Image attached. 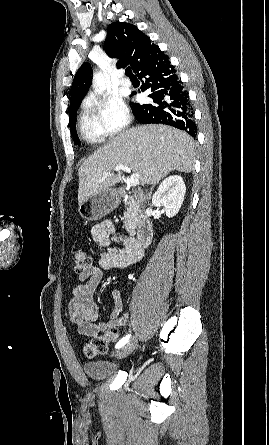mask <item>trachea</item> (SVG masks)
I'll return each mask as SVG.
<instances>
[{
	"label": "trachea",
	"mask_w": 269,
	"mask_h": 445,
	"mask_svg": "<svg viewBox=\"0 0 269 445\" xmlns=\"http://www.w3.org/2000/svg\"><path fill=\"white\" fill-rule=\"evenodd\" d=\"M125 73H126V75L128 77H133L134 76L130 67L126 68Z\"/></svg>",
	"instance_id": "3493384b"
}]
</instances>
